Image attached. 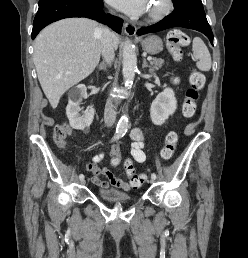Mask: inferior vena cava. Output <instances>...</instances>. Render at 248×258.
<instances>
[{"instance_id": "obj_1", "label": "inferior vena cava", "mask_w": 248, "mask_h": 258, "mask_svg": "<svg viewBox=\"0 0 248 258\" xmlns=\"http://www.w3.org/2000/svg\"><path fill=\"white\" fill-rule=\"evenodd\" d=\"M102 41H101V53L105 62L108 65L114 61V45H113V33L109 28H102ZM115 106L111 98L107 100L105 112H104V122L107 127H111L115 122Z\"/></svg>"}]
</instances>
